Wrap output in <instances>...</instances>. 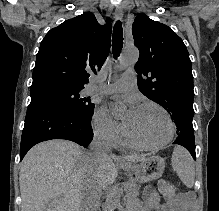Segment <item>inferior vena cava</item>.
Masks as SVG:
<instances>
[{"mask_svg": "<svg viewBox=\"0 0 219 211\" xmlns=\"http://www.w3.org/2000/svg\"><path fill=\"white\" fill-rule=\"evenodd\" d=\"M90 149V171H95L94 173L97 175L99 173L98 171H103V166H105V161H102V159H108V157H110L109 151H111V147L109 137H107L106 133L95 135L93 141L90 143ZM85 186L87 188L82 190L84 194L83 197H81L80 206L82 207V211H95V208L92 207H95L96 203L91 193L95 192L94 188L97 187V184L87 183Z\"/></svg>", "mask_w": 219, "mask_h": 211, "instance_id": "obj_1", "label": "inferior vena cava"}]
</instances>
